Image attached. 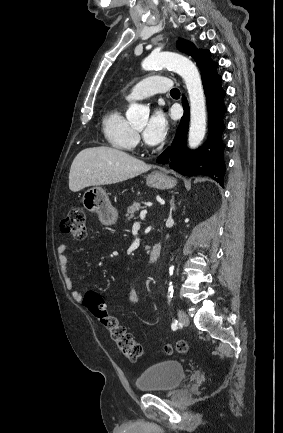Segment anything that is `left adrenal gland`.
Masks as SVG:
<instances>
[{"instance_id":"left-adrenal-gland-1","label":"left adrenal gland","mask_w":283,"mask_h":433,"mask_svg":"<svg viewBox=\"0 0 283 433\" xmlns=\"http://www.w3.org/2000/svg\"><path fill=\"white\" fill-rule=\"evenodd\" d=\"M170 204H171L170 210H175L174 196H172Z\"/></svg>"}]
</instances>
